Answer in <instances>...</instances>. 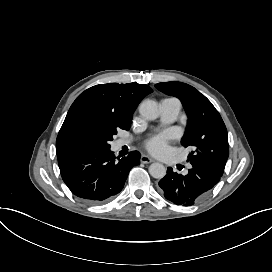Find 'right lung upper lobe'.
Listing matches in <instances>:
<instances>
[{
    "label": "right lung upper lobe",
    "mask_w": 272,
    "mask_h": 272,
    "mask_svg": "<svg viewBox=\"0 0 272 272\" xmlns=\"http://www.w3.org/2000/svg\"><path fill=\"white\" fill-rule=\"evenodd\" d=\"M152 89L138 83L96 85L81 93L71 105L56 140L57 156L75 151L87 123L129 130L140 101Z\"/></svg>",
    "instance_id": "right-lung-upper-lobe-1"
}]
</instances>
